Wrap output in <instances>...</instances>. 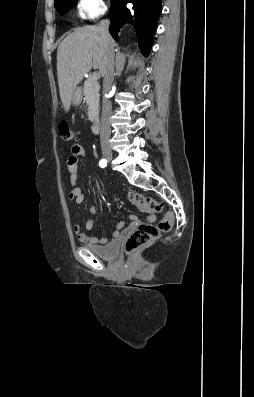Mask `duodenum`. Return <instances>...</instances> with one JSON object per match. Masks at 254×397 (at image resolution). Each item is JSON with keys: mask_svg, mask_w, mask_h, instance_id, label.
Returning <instances> with one entry per match:
<instances>
[{"mask_svg": "<svg viewBox=\"0 0 254 397\" xmlns=\"http://www.w3.org/2000/svg\"><path fill=\"white\" fill-rule=\"evenodd\" d=\"M91 130L93 133L97 134L100 131V121L95 119L92 123Z\"/></svg>", "mask_w": 254, "mask_h": 397, "instance_id": "1", "label": "duodenum"}]
</instances>
